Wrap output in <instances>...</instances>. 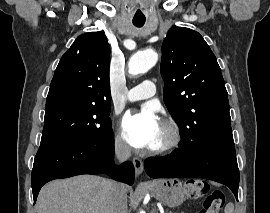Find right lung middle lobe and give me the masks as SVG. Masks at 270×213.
<instances>
[{"label":"right lung middle lobe","mask_w":270,"mask_h":213,"mask_svg":"<svg viewBox=\"0 0 270 213\" xmlns=\"http://www.w3.org/2000/svg\"><path fill=\"white\" fill-rule=\"evenodd\" d=\"M110 105L62 103L46 107L41 143L104 139L113 133Z\"/></svg>","instance_id":"1"}]
</instances>
